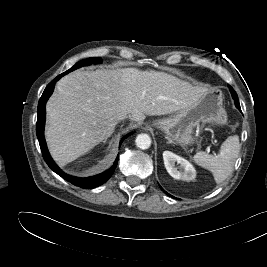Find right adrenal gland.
Segmentation results:
<instances>
[{
    "label": "right adrenal gland",
    "mask_w": 267,
    "mask_h": 267,
    "mask_svg": "<svg viewBox=\"0 0 267 267\" xmlns=\"http://www.w3.org/2000/svg\"><path fill=\"white\" fill-rule=\"evenodd\" d=\"M108 137H110V135H109V136H107V137L105 138V140L103 141L104 143L106 142V140H107V138H108Z\"/></svg>",
    "instance_id": "1"
}]
</instances>
